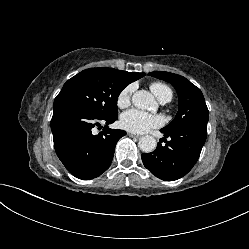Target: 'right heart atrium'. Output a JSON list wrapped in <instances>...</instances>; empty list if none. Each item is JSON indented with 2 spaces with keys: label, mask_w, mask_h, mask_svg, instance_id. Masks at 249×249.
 I'll return each instance as SVG.
<instances>
[{
  "label": "right heart atrium",
  "mask_w": 249,
  "mask_h": 249,
  "mask_svg": "<svg viewBox=\"0 0 249 249\" xmlns=\"http://www.w3.org/2000/svg\"><path fill=\"white\" fill-rule=\"evenodd\" d=\"M133 91H134L133 85H129L121 90V92L117 97L118 107L125 108L130 104Z\"/></svg>",
  "instance_id": "d8ad5b80"
}]
</instances>
